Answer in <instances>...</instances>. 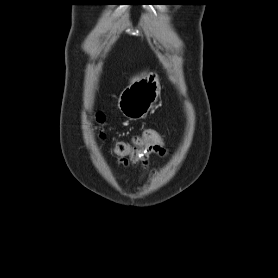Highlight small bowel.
<instances>
[{"label":"small bowel","mask_w":278,"mask_h":278,"mask_svg":"<svg viewBox=\"0 0 278 278\" xmlns=\"http://www.w3.org/2000/svg\"><path fill=\"white\" fill-rule=\"evenodd\" d=\"M133 146L139 151L146 152V157L137 161L121 158L119 162L124 166H140L143 176H147L150 179L154 175V170L150 168L149 158L151 156L162 157L166 153L164 147L150 143L145 138L140 137L133 140Z\"/></svg>","instance_id":"obj_1"}]
</instances>
